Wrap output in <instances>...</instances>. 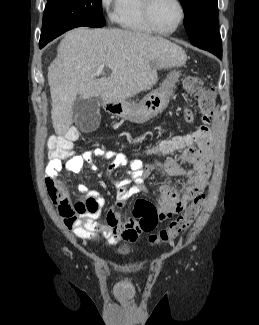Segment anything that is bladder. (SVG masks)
<instances>
[{
    "mask_svg": "<svg viewBox=\"0 0 259 325\" xmlns=\"http://www.w3.org/2000/svg\"><path fill=\"white\" fill-rule=\"evenodd\" d=\"M129 252H130V250L128 248H121V249L117 250V253L122 256L129 254Z\"/></svg>",
    "mask_w": 259,
    "mask_h": 325,
    "instance_id": "31cf9c89",
    "label": "bladder"
}]
</instances>
